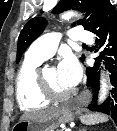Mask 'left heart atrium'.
I'll use <instances>...</instances> for the list:
<instances>
[{"label": "left heart atrium", "mask_w": 117, "mask_h": 131, "mask_svg": "<svg viewBox=\"0 0 117 131\" xmlns=\"http://www.w3.org/2000/svg\"><path fill=\"white\" fill-rule=\"evenodd\" d=\"M57 70L60 81L70 88L75 87L81 79V66L73 55H66Z\"/></svg>", "instance_id": "39dd6f15"}]
</instances>
